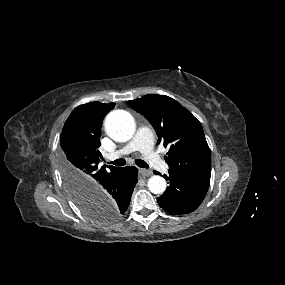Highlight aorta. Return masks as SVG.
Here are the masks:
<instances>
[{
	"instance_id": "762f6f07",
	"label": "aorta",
	"mask_w": 285,
	"mask_h": 285,
	"mask_svg": "<svg viewBox=\"0 0 285 285\" xmlns=\"http://www.w3.org/2000/svg\"><path fill=\"white\" fill-rule=\"evenodd\" d=\"M104 126L107 135L118 142L129 141L135 132L134 118L125 110L110 112ZM148 188L154 194H162L166 190V181L163 177L154 175L148 180Z\"/></svg>"
}]
</instances>
